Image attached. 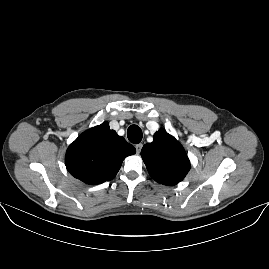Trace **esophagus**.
I'll return each instance as SVG.
<instances>
[{"mask_svg": "<svg viewBox=\"0 0 269 269\" xmlns=\"http://www.w3.org/2000/svg\"><path fill=\"white\" fill-rule=\"evenodd\" d=\"M142 147H143L142 143H138V144L135 145L137 155L141 152Z\"/></svg>", "mask_w": 269, "mask_h": 269, "instance_id": "1", "label": "esophagus"}]
</instances>
